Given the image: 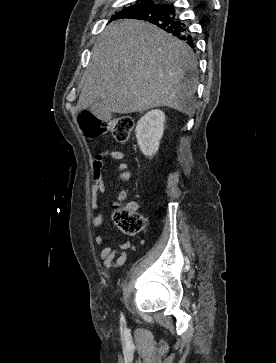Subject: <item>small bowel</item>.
I'll list each match as a JSON object with an SVG mask.
<instances>
[{
  "label": "small bowel",
  "mask_w": 276,
  "mask_h": 363,
  "mask_svg": "<svg viewBox=\"0 0 276 363\" xmlns=\"http://www.w3.org/2000/svg\"><path fill=\"white\" fill-rule=\"evenodd\" d=\"M126 154L123 151L113 150V149H104L98 152L92 160V177H93V186L91 190V205L93 208H98L100 205L99 196L106 194V187L103 180V168L105 164V160L114 159L118 160L119 163L116 164V170L119 172L117 179L119 181H126L132 177V171L129 165L123 160L125 159ZM130 207L132 209H137L138 205L136 203H131ZM104 221L103 213H99L93 219V225L95 227H100ZM95 242L98 245H103L105 243V238L102 235H98L95 238ZM129 243H124L118 246L117 249L107 246L103 248L99 257L103 261V264L106 268L110 269L112 267H120L122 266L127 258L125 250L128 249Z\"/></svg>",
  "instance_id": "small-bowel-1"
}]
</instances>
